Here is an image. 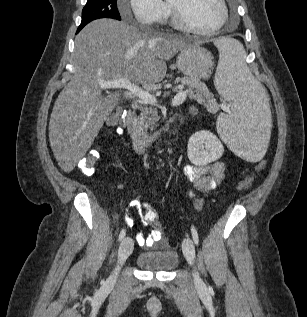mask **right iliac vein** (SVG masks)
I'll list each match as a JSON object with an SVG mask.
<instances>
[{"instance_id": "obj_1", "label": "right iliac vein", "mask_w": 307, "mask_h": 317, "mask_svg": "<svg viewBox=\"0 0 307 317\" xmlns=\"http://www.w3.org/2000/svg\"><path fill=\"white\" fill-rule=\"evenodd\" d=\"M132 250H133V241L131 238L126 237L125 239H123V241L120 244V247L118 250L116 268L108 279L109 284H114L116 282L121 266L125 263V261L131 254Z\"/></svg>"}]
</instances>
